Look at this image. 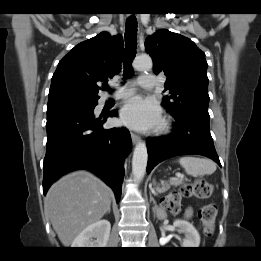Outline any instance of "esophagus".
<instances>
[{"mask_svg":"<svg viewBox=\"0 0 261 261\" xmlns=\"http://www.w3.org/2000/svg\"><path fill=\"white\" fill-rule=\"evenodd\" d=\"M131 139L134 144L140 141V137L133 132H131Z\"/></svg>","mask_w":261,"mask_h":261,"instance_id":"1","label":"esophagus"}]
</instances>
